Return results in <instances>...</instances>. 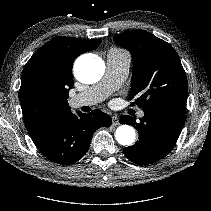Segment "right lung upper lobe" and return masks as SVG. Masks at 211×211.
I'll list each match as a JSON object with an SVG mask.
<instances>
[{
	"label": "right lung upper lobe",
	"instance_id": "obj_1",
	"mask_svg": "<svg viewBox=\"0 0 211 211\" xmlns=\"http://www.w3.org/2000/svg\"><path fill=\"white\" fill-rule=\"evenodd\" d=\"M100 43V39L58 36L43 45L26 63L19 101L31 138L71 111L67 99L73 86V62L79 55L95 49Z\"/></svg>",
	"mask_w": 211,
	"mask_h": 211
}]
</instances>
